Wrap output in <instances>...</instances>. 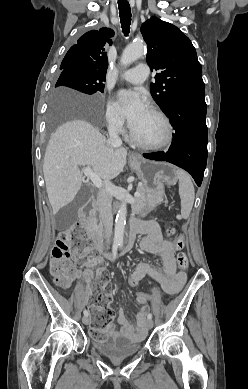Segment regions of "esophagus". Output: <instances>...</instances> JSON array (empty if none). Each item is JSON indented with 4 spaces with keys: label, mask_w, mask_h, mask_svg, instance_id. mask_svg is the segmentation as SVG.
<instances>
[{
    "label": "esophagus",
    "mask_w": 248,
    "mask_h": 389,
    "mask_svg": "<svg viewBox=\"0 0 248 389\" xmlns=\"http://www.w3.org/2000/svg\"><path fill=\"white\" fill-rule=\"evenodd\" d=\"M129 158H130V160H132V161H137V160L140 159L139 155H138L137 153H135V152H132V153L130 154Z\"/></svg>",
    "instance_id": "34e87169"
}]
</instances>
